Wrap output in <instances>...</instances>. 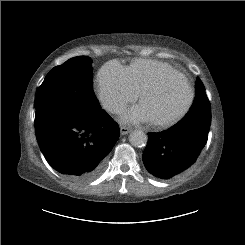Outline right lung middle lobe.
Segmentation results:
<instances>
[{"instance_id": "obj_1", "label": "right lung middle lobe", "mask_w": 245, "mask_h": 245, "mask_svg": "<svg viewBox=\"0 0 245 245\" xmlns=\"http://www.w3.org/2000/svg\"><path fill=\"white\" fill-rule=\"evenodd\" d=\"M90 65L91 60L87 57H75L47 74L38 91L36 128L66 113L100 108L92 90Z\"/></svg>"}]
</instances>
